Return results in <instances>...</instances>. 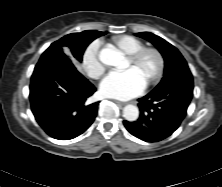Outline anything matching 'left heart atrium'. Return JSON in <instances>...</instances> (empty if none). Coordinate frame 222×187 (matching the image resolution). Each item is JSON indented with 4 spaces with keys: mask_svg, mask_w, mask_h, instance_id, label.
<instances>
[{
    "mask_svg": "<svg viewBox=\"0 0 222 187\" xmlns=\"http://www.w3.org/2000/svg\"><path fill=\"white\" fill-rule=\"evenodd\" d=\"M146 82L135 68L112 71L101 83L100 93L108 98L128 100L139 95Z\"/></svg>",
    "mask_w": 222,
    "mask_h": 187,
    "instance_id": "39dd6f15",
    "label": "left heart atrium"
}]
</instances>
